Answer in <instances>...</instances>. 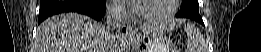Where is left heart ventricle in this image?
<instances>
[{"mask_svg": "<svg viewBox=\"0 0 261 52\" xmlns=\"http://www.w3.org/2000/svg\"><path fill=\"white\" fill-rule=\"evenodd\" d=\"M137 10L145 16H156L164 13L170 4V0H147L138 1Z\"/></svg>", "mask_w": 261, "mask_h": 52, "instance_id": "obj_1", "label": "left heart ventricle"}]
</instances>
